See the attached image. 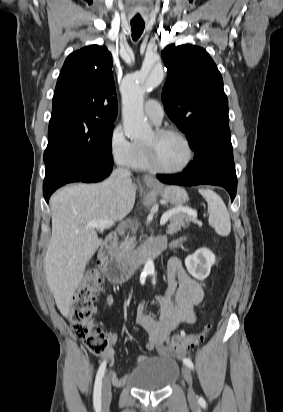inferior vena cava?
Segmentation results:
<instances>
[{
  "instance_id": "1",
  "label": "inferior vena cava",
  "mask_w": 283,
  "mask_h": 412,
  "mask_svg": "<svg viewBox=\"0 0 283 412\" xmlns=\"http://www.w3.org/2000/svg\"><path fill=\"white\" fill-rule=\"evenodd\" d=\"M131 172L125 168H117L113 171L111 177L112 178H123V179H130Z\"/></svg>"
}]
</instances>
